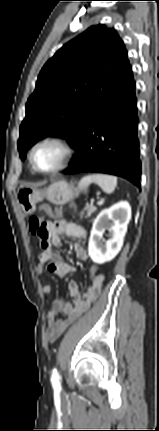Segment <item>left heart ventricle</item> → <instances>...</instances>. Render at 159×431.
Masks as SVG:
<instances>
[{
	"instance_id": "left-heart-ventricle-1",
	"label": "left heart ventricle",
	"mask_w": 159,
	"mask_h": 431,
	"mask_svg": "<svg viewBox=\"0 0 159 431\" xmlns=\"http://www.w3.org/2000/svg\"><path fill=\"white\" fill-rule=\"evenodd\" d=\"M63 156L62 149L55 144L39 146L33 154V160L37 168L43 171L55 168Z\"/></svg>"
}]
</instances>
